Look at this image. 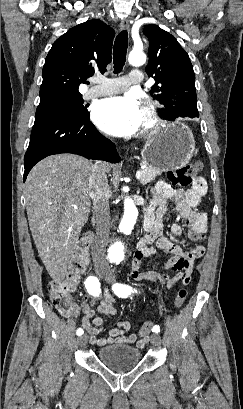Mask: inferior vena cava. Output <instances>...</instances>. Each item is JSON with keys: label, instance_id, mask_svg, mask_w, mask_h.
<instances>
[{"label": "inferior vena cava", "instance_id": "inferior-vena-cava-1", "mask_svg": "<svg viewBox=\"0 0 243 409\" xmlns=\"http://www.w3.org/2000/svg\"><path fill=\"white\" fill-rule=\"evenodd\" d=\"M109 185L105 170L98 164L92 165L89 177V196L93 200L96 216V236L92 245V257L95 266L108 270L106 246L110 232Z\"/></svg>", "mask_w": 243, "mask_h": 409}]
</instances>
